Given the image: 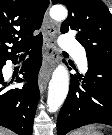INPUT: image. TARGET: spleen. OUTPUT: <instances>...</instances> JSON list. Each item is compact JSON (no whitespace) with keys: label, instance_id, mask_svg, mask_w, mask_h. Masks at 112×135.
Segmentation results:
<instances>
[{"label":"spleen","instance_id":"1","mask_svg":"<svg viewBox=\"0 0 112 135\" xmlns=\"http://www.w3.org/2000/svg\"><path fill=\"white\" fill-rule=\"evenodd\" d=\"M71 135H85L83 131H75Z\"/></svg>","mask_w":112,"mask_h":135}]
</instances>
